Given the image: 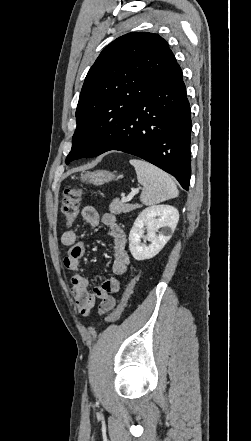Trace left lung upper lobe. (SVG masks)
<instances>
[{
	"label": "left lung upper lobe",
	"mask_w": 251,
	"mask_h": 441,
	"mask_svg": "<svg viewBox=\"0 0 251 441\" xmlns=\"http://www.w3.org/2000/svg\"><path fill=\"white\" fill-rule=\"evenodd\" d=\"M173 56L162 37L148 32L125 34L100 53L80 93L77 128L66 164L89 157L93 131L124 118L147 95L150 84Z\"/></svg>",
	"instance_id": "left-lung-upper-lobe-1"
}]
</instances>
